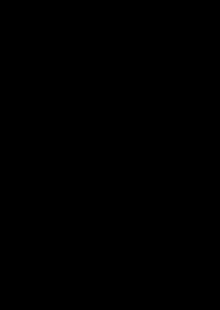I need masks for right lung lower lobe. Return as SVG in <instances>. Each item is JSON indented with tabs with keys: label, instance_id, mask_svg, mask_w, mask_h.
<instances>
[{
	"label": "right lung lower lobe",
	"instance_id": "right-lung-lower-lobe-1",
	"mask_svg": "<svg viewBox=\"0 0 220 310\" xmlns=\"http://www.w3.org/2000/svg\"><path fill=\"white\" fill-rule=\"evenodd\" d=\"M18 180L24 212L54 235L79 229L102 199L113 198V192L92 175L86 156L64 148L22 161Z\"/></svg>",
	"mask_w": 220,
	"mask_h": 310
}]
</instances>
